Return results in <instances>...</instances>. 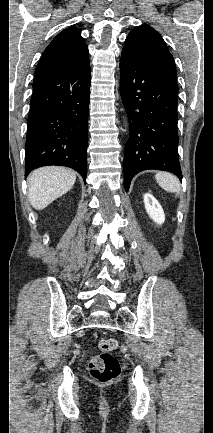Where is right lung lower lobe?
<instances>
[{
  "label": "right lung lower lobe",
  "instance_id": "1",
  "mask_svg": "<svg viewBox=\"0 0 213 433\" xmlns=\"http://www.w3.org/2000/svg\"><path fill=\"white\" fill-rule=\"evenodd\" d=\"M90 62L34 76L27 123L25 176L46 165L67 166L86 180Z\"/></svg>",
  "mask_w": 213,
  "mask_h": 433
}]
</instances>
